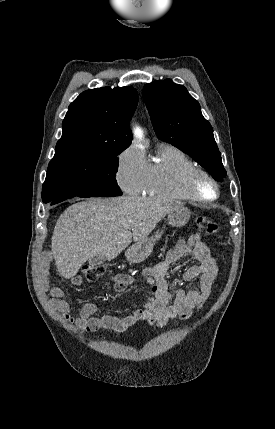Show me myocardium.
<instances>
[{
  "label": "myocardium",
  "mask_w": 275,
  "mask_h": 429,
  "mask_svg": "<svg viewBox=\"0 0 275 429\" xmlns=\"http://www.w3.org/2000/svg\"><path fill=\"white\" fill-rule=\"evenodd\" d=\"M201 180L208 181L213 187L215 194L212 198H207L200 193L199 184ZM185 188L193 201L201 203H210L218 199L220 194V186L218 181L207 171L196 168L192 170L186 177Z\"/></svg>",
  "instance_id": "1"
}]
</instances>
